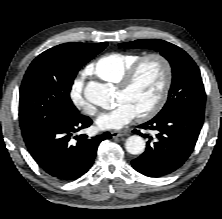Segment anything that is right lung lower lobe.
I'll list each match as a JSON object with an SVG mask.
<instances>
[{
    "label": "right lung lower lobe",
    "mask_w": 222,
    "mask_h": 219,
    "mask_svg": "<svg viewBox=\"0 0 222 219\" xmlns=\"http://www.w3.org/2000/svg\"><path fill=\"white\" fill-rule=\"evenodd\" d=\"M91 124L92 120L80 113H65L24 136V141L31 156L47 174L62 181L75 180L90 169L101 141L111 138L109 132L92 138L85 134L73 137Z\"/></svg>",
    "instance_id": "98d812e1"
}]
</instances>
